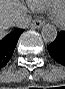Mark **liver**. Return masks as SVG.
Returning <instances> with one entry per match:
<instances>
[{"instance_id":"1","label":"liver","mask_w":65,"mask_h":89,"mask_svg":"<svg viewBox=\"0 0 65 89\" xmlns=\"http://www.w3.org/2000/svg\"><path fill=\"white\" fill-rule=\"evenodd\" d=\"M25 6L18 0H0V32L3 37L15 25L16 17L23 14Z\"/></svg>"}]
</instances>
